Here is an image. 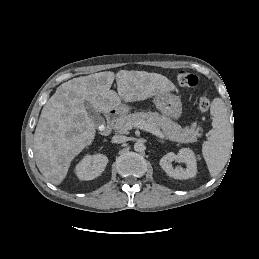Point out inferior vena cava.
Returning <instances> with one entry per match:
<instances>
[{"instance_id": "602c4592", "label": "inferior vena cava", "mask_w": 259, "mask_h": 259, "mask_svg": "<svg viewBox=\"0 0 259 259\" xmlns=\"http://www.w3.org/2000/svg\"><path fill=\"white\" fill-rule=\"evenodd\" d=\"M127 140V137L123 135H115L112 137V142L116 144L125 143Z\"/></svg>"}]
</instances>
